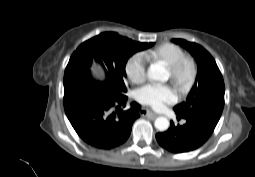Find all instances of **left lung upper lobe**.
I'll return each instance as SVG.
<instances>
[{
  "instance_id": "left-lung-upper-lobe-1",
  "label": "left lung upper lobe",
  "mask_w": 255,
  "mask_h": 177,
  "mask_svg": "<svg viewBox=\"0 0 255 177\" xmlns=\"http://www.w3.org/2000/svg\"><path fill=\"white\" fill-rule=\"evenodd\" d=\"M172 42L187 49L195 57L198 66L195 84L187 100L174 107L176 114L217 125L224 107L225 86L214 58L196 43L183 39H172Z\"/></svg>"
}]
</instances>
